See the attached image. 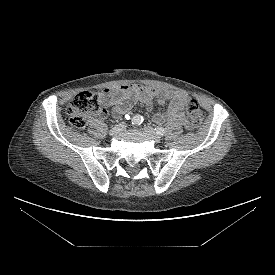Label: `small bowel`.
Returning <instances> with one entry per match:
<instances>
[{"instance_id":"obj_1","label":"small bowel","mask_w":275,"mask_h":275,"mask_svg":"<svg viewBox=\"0 0 275 275\" xmlns=\"http://www.w3.org/2000/svg\"><path fill=\"white\" fill-rule=\"evenodd\" d=\"M155 100L160 105L169 102V107L166 111L153 116L155 123L178 121L187 129L190 128L184 111L188 105L189 96L184 91L141 85H124L104 91V101L112 106L114 117L126 114L138 102L144 104L145 108L151 111ZM107 114L108 111L106 110L101 115L105 116Z\"/></svg>"}]
</instances>
